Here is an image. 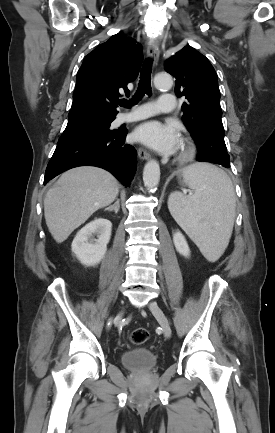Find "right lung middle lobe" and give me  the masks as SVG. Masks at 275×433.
Segmentation results:
<instances>
[{
	"label": "right lung middle lobe",
	"instance_id": "obj_1",
	"mask_svg": "<svg viewBox=\"0 0 275 433\" xmlns=\"http://www.w3.org/2000/svg\"><path fill=\"white\" fill-rule=\"evenodd\" d=\"M115 116L105 115H86L81 117L70 118L67 127L63 133H70L81 130H92L99 132L111 133L115 130H109L110 123Z\"/></svg>",
	"mask_w": 275,
	"mask_h": 433
}]
</instances>
